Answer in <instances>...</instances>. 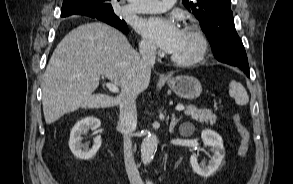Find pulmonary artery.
Returning <instances> with one entry per match:
<instances>
[{"label":"pulmonary artery","instance_id":"e3ab8cb5","mask_svg":"<svg viewBox=\"0 0 293 184\" xmlns=\"http://www.w3.org/2000/svg\"><path fill=\"white\" fill-rule=\"evenodd\" d=\"M177 0H131L123 8L125 13H160L170 9Z\"/></svg>","mask_w":293,"mask_h":184}]
</instances>
